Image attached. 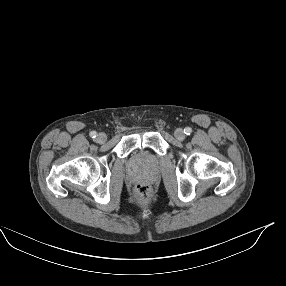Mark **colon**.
I'll use <instances>...</instances> for the list:
<instances>
[{
  "instance_id": "1",
  "label": "colon",
  "mask_w": 286,
  "mask_h": 286,
  "mask_svg": "<svg viewBox=\"0 0 286 286\" xmlns=\"http://www.w3.org/2000/svg\"><path fill=\"white\" fill-rule=\"evenodd\" d=\"M135 194L139 200L146 201L149 199L151 194L150 187L144 183L137 184L135 187Z\"/></svg>"
}]
</instances>
